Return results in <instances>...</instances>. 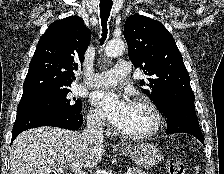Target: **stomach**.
I'll list each match as a JSON object with an SVG mask.
<instances>
[{"label": "stomach", "instance_id": "stomach-1", "mask_svg": "<svg viewBox=\"0 0 224 174\" xmlns=\"http://www.w3.org/2000/svg\"><path fill=\"white\" fill-rule=\"evenodd\" d=\"M122 153L130 158L140 168H151L162 159L160 150L151 143H140L127 148Z\"/></svg>", "mask_w": 224, "mask_h": 174}]
</instances>
